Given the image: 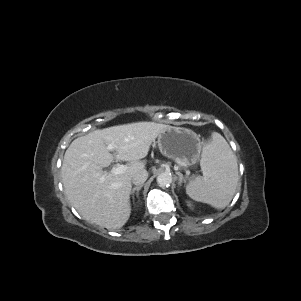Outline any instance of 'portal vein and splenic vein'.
<instances>
[{
  "label": "portal vein and splenic vein",
  "mask_w": 301,
  "mask_h": 301,
  "mask_svg": "<svg viewBox=\"0 0 301 301\" xmlns=\"http://www.w3.org/2000/svg\"><path fill=\"white\" fill-rule=\"evenodd\" d=\"M108 150H113L114 149V146L113 145H108L107 147ZM126 170V166L125 165H116L115 167H113L111 173L114 174V175H118V174H122L124 173Z\"/></svg>",
  "instance_id": "portal-vein-and-splenic-vein-1"
}]
</instances>
